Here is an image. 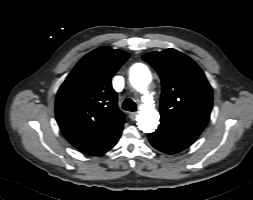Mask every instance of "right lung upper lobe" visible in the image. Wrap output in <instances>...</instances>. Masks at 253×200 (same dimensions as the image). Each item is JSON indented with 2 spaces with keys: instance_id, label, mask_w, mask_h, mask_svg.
<instances>
[{
  "instance_id": "cb5924a9",
  "label": "right lung upper lobe",
  "mask_w": 253,
  "mask_h": 200,
  "mask_svg": "<svg viewBox=\"0 0 253 200\" xmlns=\"http://www.w3.org/2000/svg\"><path fill=\"white\" fill-rule=\"evenodd\" d=\"M129 56L110 47L95 49L77 63L57 93L55 115L61 131L89 155L121 135L125 115L118 109L111 78Z\"/></svg>"
}]
</instances>
